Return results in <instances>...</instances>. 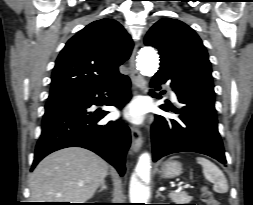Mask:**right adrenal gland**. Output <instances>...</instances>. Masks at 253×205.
I'll use <instances>...</instances> for the list:
<instances>
[{"mask_svg":"<svg viewBox=\"0 0 253 205\" xmlns=\"http://www.w3.org/2000/svg\"><path fill=\"white\" fill-rule=\"evenodd\" d=\"M107 189V186H106V184H105V180L102 182V184H101V187H100V189L98 190V192H102L103 190H106Z\"/></svg>","mask_w":253,"mask_h":205,"instance_id":"right-adrenal-gland-1","label":"right adrenal gland"}]
</instances>
